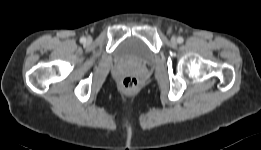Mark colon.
Masks as SVG:
<instances>
[{"mask_svg":"<svg viewBox=\"0 0 261 150\" xmlns=\"http://www.w3.org/2000/svg\"><path fill=\"white\" fill-rule=\"evenodd\" d=\"M121 88L126 94H134L139 89V80L134 76H126L121 82Z\"/></svg>","mask_w":261,"mask_h":150,"instance_id":"5ec220e1","label":"colon"}]
</instances>
